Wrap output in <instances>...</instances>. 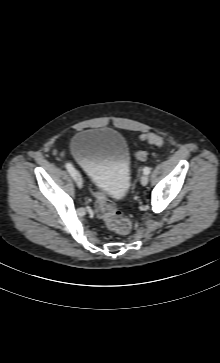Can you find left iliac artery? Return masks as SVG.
<instances>
[{"mask_svg": "<svg viewBox=\"0 0 220 363\" xmlns=\"http://www.w3.org/2000/svg\"><path fill=\"white\" fill-rule=\"evenodd\" d=\"M143 173L148 175L150 173V168L149 167H144Z\"/></svg>", "mask_w": 220, "mask_h": 363, "instance_id": "1", "label": "left iliac artery"}]
</instances>
